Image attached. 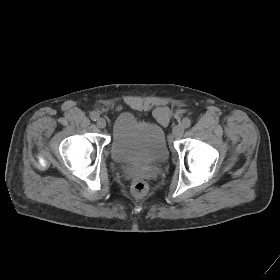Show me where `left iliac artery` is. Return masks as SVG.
<instances>
[{
    "instance_id": "left-iliac-artery-1",
    "label": "left iliac artery",
    "mask_w": 280,
    "mask_h": 280,
    "mask_svg": "<svg viewBox=\"0 0 280 280\" xmlns=\"http://www.w3.org/2000/svg\"><path fill=\"white\" fill-rule=\"evenodd\" d=\"M190 125H191V120H190L189 118H184V119L182 120V126H183L184 128H189Z\"/></svg>"
}]
</instances>
